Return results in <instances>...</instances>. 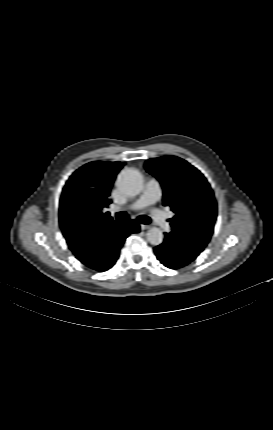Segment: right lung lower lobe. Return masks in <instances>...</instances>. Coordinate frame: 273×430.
I'll return each instance as SVG.
<instances>
[{"mask_svg": "<svg viewBox=\"0 0 273 430\" xmlns=\"http://www.w3.org/2000/svg\"><path fill=\"white\" fill-rule=\"evenodd\" d=\"M139 231L140 227L134 220L109 230H101L87 243L90 246V254L81 262L97 271L108 270L118 259L125 239L131 233ZM67 243L70 244V242Z\"/></svg>", "mask_w": 273, "mask_h": 430, "instance_id": "98d812e1", "label": "right lung lower lobe"}]
</instances>
